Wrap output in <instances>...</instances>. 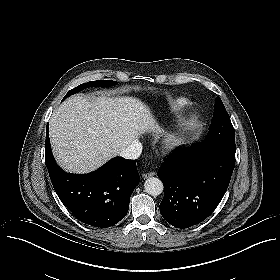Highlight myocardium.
<instances>
[{
	"label": "myocardium",
	"instance_id": "1",
	"mask_svg": "<svg viewBox=\"0 0 280 280\" xmlns=\"http://www.w3.org/2000/svg\"><path fill=\"white\" fill-rule=\"evenodd\" d=\"M192 125L193 122L188 121L173 128V130L169 134L168 139L165 141L164 147L166 149H173L174 147H176L178 143L182 141L183 138H185Z\"/></svg>",
	"mask_w": 280,
	"mask_h": 280
}]
</instances>
